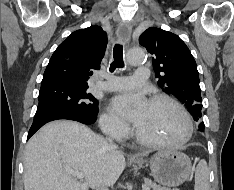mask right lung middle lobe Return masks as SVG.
I'll return each mask as SVG.
<instances>
[{
  "mask_svg": "<svg viewBox=\"0 0 234 190\" xmlns=\"http://www.w3.org/2000/svg\"><path fill=\"white\" fill-rule=\"evenodd\" d=\"M88 86L62 82L41 84L39 104L34 120L52 111L66 110L85 116H96L98 103L87 93Z\"/></svg>",
  "mask_w": 234,
  "mask_h": 190,
  "instance_id": "1",
  "label": "right lung middle lobe"
}]
</instances>
